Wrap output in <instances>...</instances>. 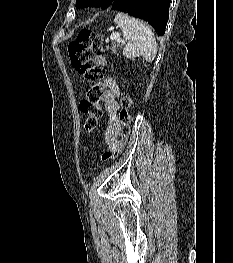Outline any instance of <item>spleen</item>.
Returning <instances> with one entry per match:
<instances>
[{
    "mask_svg": "<svg viewBox=\"0 0 233 263\" xmlns=\"http://www.w3.org/2000/svg\"><path fill=\"white\" fill-rule=\"evenodd\" d=\"M114 23L121 29L127 42L123 55L133 59L142 57L146 62H152L157 54V43L151 29L141 20L130 17L124 13H117Z\"/></svg>",
    "mask_w": 233,
    "mask_h": 263,
    "instance_id": "3e777b00",
    "label": "spleen"
}]
</instances>
